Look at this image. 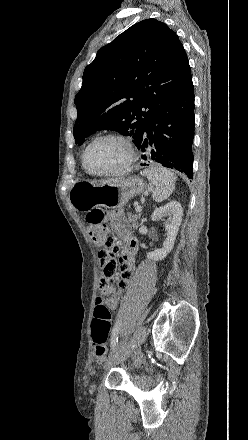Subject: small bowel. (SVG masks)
<instances>
[{
  "label": "small bowel",
  "mask_w": 248,
  "mask_h": 440,
  "mask_svg": "<svg viewBox=\"0 0 248 440\" xmlns=\"http://www.w3.org/2000/svg\"><path fill=\"white\" fill-rule=\"evenodd\" d=\"M113 223L118 229L123 230L125 246L122 257L118 259L117 257L101 259L100 277L97 279L98 284H100L101 296L96 298V302H103L110 310L117 308L122 292L129 284L131 272L135 266V254L138 249V242L129 232L122 212L113 214ZM117 286L119 290L115 291ZM110 294L112 295L103 298L104 295Z\"/></svg>",
  "instance_id": "1"
}]
</instances>
